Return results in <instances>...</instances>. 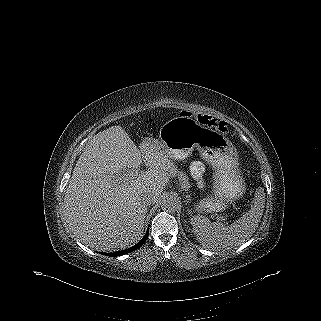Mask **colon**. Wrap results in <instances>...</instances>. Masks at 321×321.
Instances as JSON below:
<instances>
[{"label":"colon","instance_id":"obj_1","mask_svg":"<svg viewBox=\"0 0 321 321\" xmlns=\"http://www.w3.org/2000/svg\"><path fill=\"white\" fill-rule=\"evenodd\" d=\"M191 115V114H189ZM196 120L210 128L220 131L221 133L228 132V124L225 121L218 120L210 115L197 114L195 116Z\"/></svg>","mask_w":321,"mask_h":321}]
</instances>
